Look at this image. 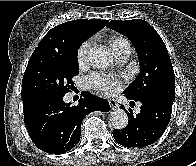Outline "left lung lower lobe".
Wrapping results in <instances>:
<instances>
[{"label": "left lung lower lobe", "mask_w": 196, "mask_h": 166, "mask_svg": "<svg viewBox=\"0 0 196 166\" xmlns=\"http://www.w3.org/2000/svg\"><path fill=\"white\" fill-rule=\"evenodd\" d=\"M138 101L142 103L140 113L133 115L129 109L128 125L121 130H113L114 139L124 147L141 148L154 143L164 133L171 118L172 100L161 96H145Z\"/></svg>", "instance_id": "left-lung-lower-lobe-1"}]
</instances>
